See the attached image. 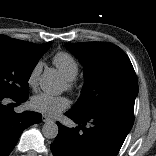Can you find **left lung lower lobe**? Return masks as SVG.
<instances>
[{
  "label": "left lung lower lobe",
  "mask_w": 156,
  "mask_h": 156,
  "mask_svg": "<svg viewBox=\"0 0 156 156\" xmlns=\"http://www.w3.org/2000/svg\"><path fill=\"white\" fill-rule=\"evenodd\" d=\"M65 114L79 127L57 122L59 133L50 146L54 156H116L134 122L133 112L118 107Z\"/></svg>",
  "instance_id": "1"
}]
</instances>
